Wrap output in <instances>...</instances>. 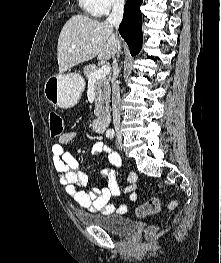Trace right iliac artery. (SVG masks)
<instances>
[{"label": "right iliac artery", "mask_w": 221, "mask_h": 263, "mask_svg": "<svg viewBox=\"0 0 221 263\" xmlns=\"http://www.w3.org/2000/svg\"><path fill=\"white\" fill-rule=\"evenodd\" d=\"M107 136H108L109 138H113V137H114V132L108 133Z\"/></svg>", "instance_id": "82829eb1"}]
</instances>
